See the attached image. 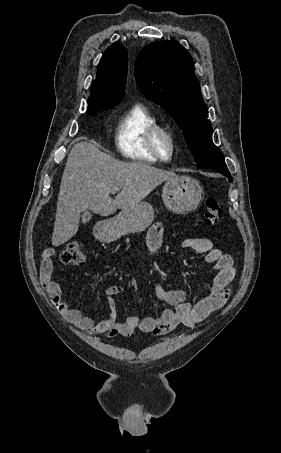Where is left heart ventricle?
Returning <instances> with one entry per match:
<instances>
[{
	"label": "left heart ventricle",
	"instance_id": "obj_1",
	"mask_svg": "<svg viewBox=\"0 0 281 453\" xmlns=\"http://www.w3.org/2000/svg\"><path fill=\"white\" fill-rule=\"evenodd\" d=\"M162 148H163L164 154L167 156L168 155V146H167V144L164 143Z\"/></svg>",
	"mask_w": 281,
	"mask_h": 453
}]
</instances>
